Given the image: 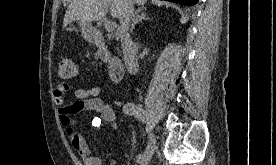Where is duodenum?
Here are the masks:
<instances>
[{
  "mask_svg": "<svg viewBox=\"0 0 276 165\" xmlns=\"http://www.w3.org/2000/svg\"><path fill=\"white\" fill-rule=\"evenodd\" d=\"M91 41L102 50H107V45L105 43V40L102 34L100 33L93 34L91 36ZM124 72H125V67H124L123 60L117 55H112L108 62V73H109L110 79L113 82H118L122 79Z\"/></svg>",
  "mask_w": 276,
  "mask_h": 165,
  "instance_id": "obj_1",
  "label": "duodenum"
}]
</instances>
